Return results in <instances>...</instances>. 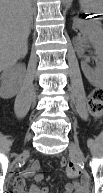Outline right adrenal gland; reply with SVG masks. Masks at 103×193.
<instances>
[{
	"mask_svg": "<svg viewBox=\"0 0 103 193\" xmlns=\"http://www.w3.org/2000/svg\"><path fill=\"white\" fill-rule=\"evenodd\" d=\"M33 28V23H31V25H30V30Z\"/></svg>",
	"mask_w": 103,
	"mask_h": 193,
	"instance_id": "1",
	"label": "right adrenal gland"
}]
</instances>
